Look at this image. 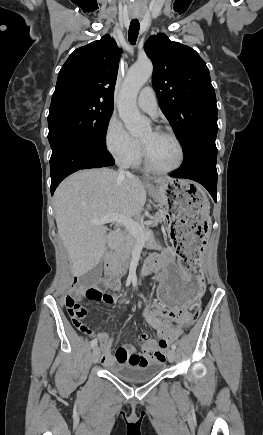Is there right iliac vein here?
Wrapping results in <instances>:
<instances>
[{"label": "right iliac vein", "instance_id": "right-iliac-vein-1", "mask_svg": "<svg viewBox=\"0 0 263 435\" xmlns=\"http://www.w3.org/2000/svg\"><path fill=\"white\" fill-rule=\"evenodd\" d=\"M100 358V349L95 346L92 352V361L93 363H97Z\"/></svg>", "mask_w": 263, "mask_h": 435}]
</instances>
